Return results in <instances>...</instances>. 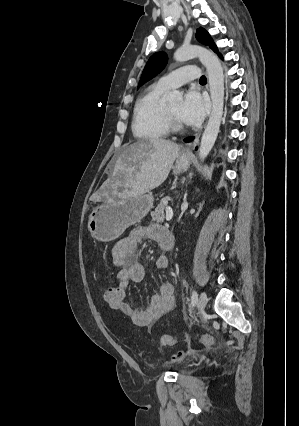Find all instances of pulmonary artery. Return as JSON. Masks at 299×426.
Segmentation results:
<instances>
[{"label":"pulmonary artery","instance_id":"pulmonary-artery-1","mask_svg":"<svg viewBox=\"0 0 299 426\" xmlns=\"http://www.w3.org/2000/svg\"><path fill=\"white\" fill-rule=\"evenodd\" d=\"M199 75L200 71L198 67L194 65H188L162 76L159 79V82L163 86L172 89L197 79Z\"/></svg>","mask_w":299,"mask_h":426}]
</instances>
